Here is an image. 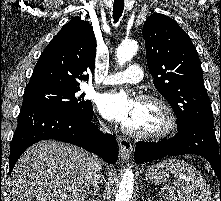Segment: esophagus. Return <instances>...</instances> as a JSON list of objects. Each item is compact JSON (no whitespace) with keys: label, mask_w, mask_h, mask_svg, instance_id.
<instances>
[{"label":"esophagus","mask_w":221,"mask_h":201,"mask_svg":"<svg viewBox=\"0 0 221 201\" xmlns=\"http://www.w3.org/2000/svg\"><path fill=\"white\" fill-rule=\"evenodd\" d=\"M117 140L121 158L123 160H128L132 153V144L130 140L125 137H118Z\"/></svg>","instance_id":"34e87169"}]
</instances>
